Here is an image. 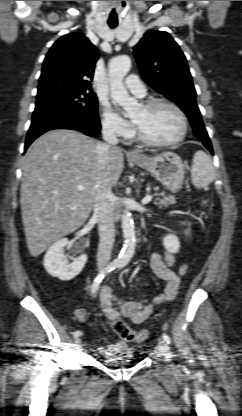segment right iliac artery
<instances>
[{"label": "right iliac artery", "mask_w": 242, "mask_h": 416, "mask_svg": "<svg viewBox=\"0 0 242 416\" xmlns=\"http://www.w3.org/2000/svg\"><path fill=\"white\" fill-rule=\"evenodd\" d=\"M117 267H119V264L118 263H110L109 265H107L96 277H95V279H94V281H93V283H92V286H91V292H92V294H96L97 293V291H98V289H99V286H100V283H101V281H102V279L108 274V273H110L111 271H113L114 269H116ZM82 333H81V331L80 330H77V331H75L74 333H73V336L76 338V337H78V336H80Z\"/></svg>", "instance_id": "1"}]
</instances>
